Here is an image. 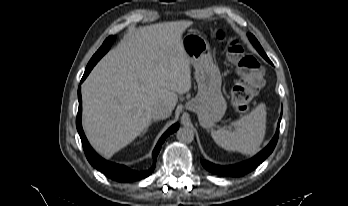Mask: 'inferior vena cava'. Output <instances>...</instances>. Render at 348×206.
Instances as JSON below:
<instances>
[{"instance_id": "602c4592", "label": "inferior vena cava", "mask_w": 348, "mask_h": 206, "mask_svg": "<svg viewBox=\"0 0 348 206\" xmlns=\"http://www.w3.org/2000/svg\"><path fill=\"white\" fill-rule=\"evenodd\" d=\"M171 111L163 106H157L152 110V118L155 120H161L169 117Z\"/></svg>"}]
</instances>
